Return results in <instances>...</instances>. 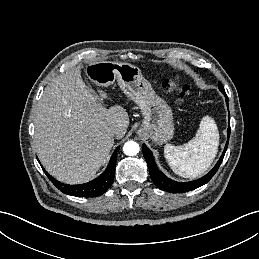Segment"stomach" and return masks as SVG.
<instances>
[{
  "instance_id": "obj_1",
  "label": "stomach",
  "mask_w": 259,
  "mask_h": 259,
  "mask_svg": "<svg viewBox=\"0 0 259 259\" xmlns=\"http://www.w3.org/2000/svg\"><path fill=\"white\" fill-rule=\"evenodd\" d=\"M86 77L98 86L112 85L115 80L121 90L140 108L143 121L138 134L149 136L158 145L174 135L173 113L170 106L153 90L141 70L129 63L98 61L85 68Z\"/></svg>"
}]
</instances>
